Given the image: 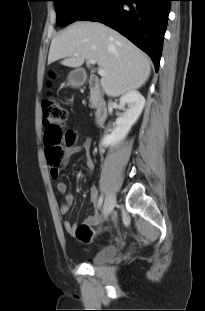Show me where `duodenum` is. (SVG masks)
<instances>
[{
	"instance_id": "obj_1",
	"label": "duodenum",
	"mask_w": 205,
	"mask_h": 311,
	"mask_svg": "<svg viewBox=\"0 0 205 311\" xmlns=\"http://www.w3.org/2000/svg\"><path fill=\"white\" fill-rule=\"evenodd\" d=\"M74 80L76 82L84 80L88 83L95 102V122H103L108 116V103L100 94L99 80L95 77L85 74L82 70L75 72Z\"/></svg>"
}]
</instances>
